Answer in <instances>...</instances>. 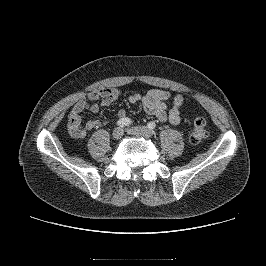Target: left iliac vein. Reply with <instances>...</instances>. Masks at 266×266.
<instances>
[{"instance_id":"obj_1","label":"left iliac vein","mask_w":266,"mask_h":266,"mask_svg":"<svg viewBox=\"0 0 266 266\" xmlns=\"http://www.w3.org/2000/svg\"><path fill=\"white\" fill-rule=\"evenodd\" d=\"M127 131L134 136L145 137V138H150L154 134V132L146 126H136V127L127 129Z\"/></svg>"}]
</instances>
